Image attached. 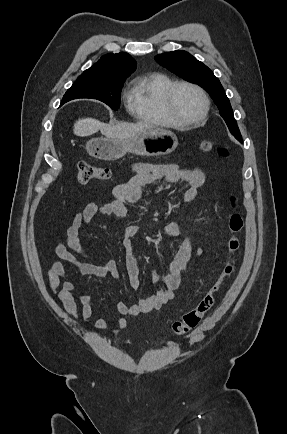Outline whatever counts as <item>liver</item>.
Masks as SVG:
<instances>
[{"label": "liver", "mask_w": 287, "mask_h": 434, "mask_svg": "<svg viewBox=\"0 0 287 434\" xmlns=\"http://www.w3.org/2000/svg\"><path fill=\"white\" fill-rule=\"evenodd\" d=\"M151 127V125L143 122H138L136 124L121 123L110 125L102 123L96 119L82 118L75 122L74 134L80 137H86L93 135L100 130L106 138L126 139Z\"/></svg>", "instance_id": "1"}]
</instances>
